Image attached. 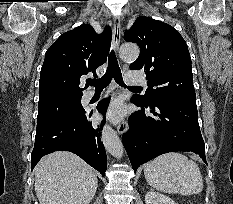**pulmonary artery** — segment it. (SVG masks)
<instances>
[{"mask_svg": "<svg viewBox=\"0 0 233 204\" xmlns=\"http://www.w3.org/2000/svg\"><path fill=\"white\" fill-rule=\"evenodd\" d=\"M126 81L128 84H131V85H145L146 84L145 78L143 76L135 74V73H127ZM93 96H94V92H92V91L86 92L84 95V100L88 101Z\"/></svg>", "mask_w": 233, "mask_h": 204, "instance_id": "e3ab8cb5", "label": "pulmonary artery"}]
</instances>
